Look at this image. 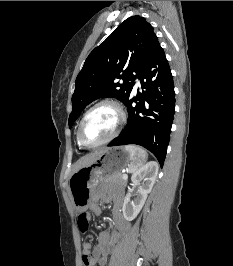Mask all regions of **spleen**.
<instances>
[{
  "label": "spleen",
  "mask_w": 233,
  "mask_h": 266,
  "mask_svg": "<svg viewBox=\"0 0 233 266\" xmlns=\"http://www.w3.org/2000/svg\"><path fill=\"white\" fill-rule=\"evenodd\" d=\"M125 149L130 153L132 157V164L129 169L130 172L134 173L147 160L148 154L144 149L135 145H126Z\"/></svg>",
  "instance_id": "3e777b00"
}]
</instances>
